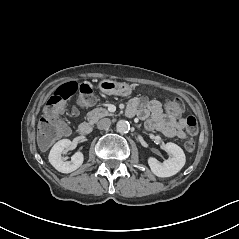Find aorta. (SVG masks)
<instances>
[{
    "instance_id": "1",
    "label": "aorta",
    "mask_w": 239,
    "mask_h": 239,
    "mask_svg": "<svg viewBox=\"0 0 239 239\" xmlns=\"http://www.w3.org/2000/svg\"><path fill=\"white\" fill-rule=\"evenodd\" d=\"M119 133H126L129 130V123L126 120H119L116 124Z\"/></svg>"
}]
</instances>
